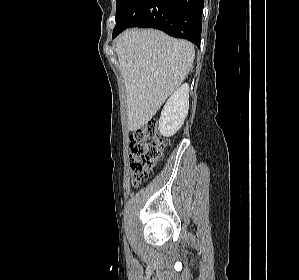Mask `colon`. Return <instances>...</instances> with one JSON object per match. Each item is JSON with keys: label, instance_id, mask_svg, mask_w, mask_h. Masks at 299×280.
Instances as JSON below:
<instances>
[{"label": "colon", "instance_id": "obj_1", "mask_svg": "<svg viewBox=\"0 0 299 280\" xmlns=\"http://www.w3.org/2000/svg\"><path fill=\"white\" fill-rule=\"evenodd\" d=\"M166 147L165 139L155 121L135 131L130 137V167L132 182L138 185L146 181L161 161Z\"/></svg>", "mask_w": 299, "mask_h": 280}]
</instances>
